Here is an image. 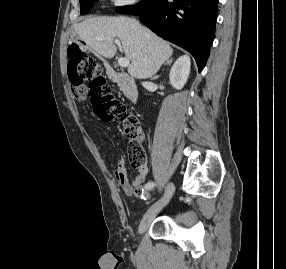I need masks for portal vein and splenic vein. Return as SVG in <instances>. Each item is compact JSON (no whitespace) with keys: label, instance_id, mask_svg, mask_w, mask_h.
I'll use <instances>...</instances> for the list:
<instances>
[{"label":"portal vein and splenic vein","instance_id":"obj_1","mask_svg":"<svg viewBox=\"0 0 286 269\" xmlns=\"http://www.w3.org/2000/svg\"><path fill=\"white\" fill-rule=\"evenodd\" d=\"M99 40H103V38H98ZM115 44H117L118 45V47H119V50L121 51V52H123V50H122V47H121V44H120V41L118 40V39H115ZM129 60L126 58V57H121V58H119L118 59V64H119V66H121V67H128V65H129Z\"/></svg>","mask_w":286,"mask_h":269}]
</instances>
